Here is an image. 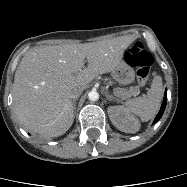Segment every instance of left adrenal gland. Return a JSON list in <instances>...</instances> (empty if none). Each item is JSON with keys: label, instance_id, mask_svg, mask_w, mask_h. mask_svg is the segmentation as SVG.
Returning a JSON list of instances; mask_svg holds the SVG:
<instances>
[{"label": "left adrenal gland", "instance_id": "a2214340", "mask_svg": "<svg viewBox=\"0 0 187 187\" xmlns=\"http://www.w3.org/2000/svg\"><path fill=\"white\" fill-rule=\"evenodd\" d=\"M105 96L107 97V100L109 101H118L117 98H115L114 96L110 95L108 92H105Z\"/></svg>", "mask_w": 187, "mask_h": 187}]
</instances>
